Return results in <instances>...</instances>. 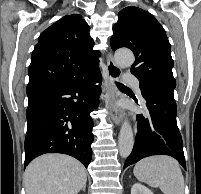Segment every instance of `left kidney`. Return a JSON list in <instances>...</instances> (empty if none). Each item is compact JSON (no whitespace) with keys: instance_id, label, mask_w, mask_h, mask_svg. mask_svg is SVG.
<instances>
[{"instance_id":"5707ae66","label":"left kidney","mask_w":201,"mask_h":194,"mask_svg":"<svg viewBox=\"0 0 201 194\" xmlns=\"http://www.w3.org/2000/svg\"><path fill=\"white\" fill-rule=\"evenodd\" d=\"M131 194H154V193L144 185H141L140 183H135L131 188Z\"/></svg>"}]
</instances>
